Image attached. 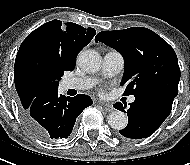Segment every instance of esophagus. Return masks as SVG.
<instances>
[{
  "mask_svg": "<svg viewBox=\"0 0 190 165\" xmlns=\"http://www.w3.org/2000/svg\"><path fill=\"white\" fill-rule=\"evenodd\" d=\"M98 104H100L101 106H103V108L107 112H112L114 110V108H113V106L111 104H108V103H105V102H101V101H98Z\"/></svg>",
  "mask_w": 190,
  "mask_h": 165,
  "instance_id": "obj_1",
  "label": "esophagus"
}]
</instances>
